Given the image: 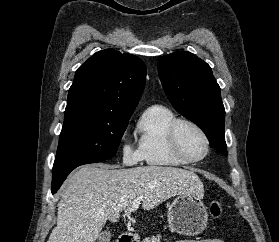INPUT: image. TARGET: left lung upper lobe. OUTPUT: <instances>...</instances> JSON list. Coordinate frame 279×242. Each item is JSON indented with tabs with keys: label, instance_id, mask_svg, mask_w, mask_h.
I'll use <instances>...</instances> for the list:
<instances>
[{
	"label": "left lung upper lobe",
	"instance_id": "obj_1",
	"mask_svg": "<svg viewBox=\"0 0 279 242\" xmlns=\"http://www.w3.org/2000/svg\"><path fill=\"white\" fill-rule=\"evenodd\" d=\"M159 77L173 107L197 124L212 147L227 155L225 109L210 66L196 55L180 51L158 60Z\"/></svg>",
	"mask_w": 279,
	"mask_h": 242
}]
</instances>
